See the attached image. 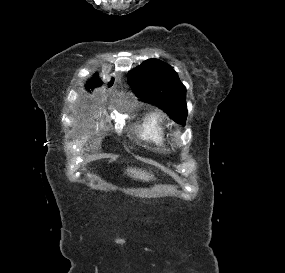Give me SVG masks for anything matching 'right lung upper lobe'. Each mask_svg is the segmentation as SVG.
Masks as SVG:
<instances>
[{"instance_id": "right-lung-upper-lobe-1", "label": "right lung upper lobe", "mask_w": 285, "mask_h": 273, "mask_svg": "<svg viewBox=\"0 0 285 273\" xmlns=\"http://www.w3.org/2000/svg\"><path fill=\"white\" fill-rule=\"evenodd\" d=\"M98 85H100V81H99L98 78H95V79L87 82L86 88L87 89H89V88L92 89V88H94L95 86H98ZM112 85H113V80H111L110 83H109V86H112Z\"/></svg>"}]
</instances>
